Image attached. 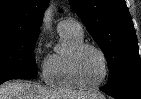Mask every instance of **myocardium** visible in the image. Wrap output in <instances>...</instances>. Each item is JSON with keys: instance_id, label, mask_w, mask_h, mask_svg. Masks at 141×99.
Instances as JSON below:
<instances>
[{"instance_id": "myocardium-1", "label": "myocardium", "mask_w": 141, "mask_h": 99, "mask_svg": "<svg viewBox=\"0 0 141 99\" xmlns=\"http://www.w3.org/2000/svg\"><path fill=\"white\" fill-rule=\"evenodd\" d=\"M86 49H93V50L97 51L101 55L103 62H104V75H103L102 79L100 81H98L97 83L90 84V83L85 82L82 79L81 74H80L79 60H80L82 53ZM70 64H71L72 75H73L75 81L81 87H84V88H88V89L98 88L102 84L105 83V81L107 80V78L109 76L110 67H109V60H108L106 53L104 52V50L102 48H100L99 46L92 44V43L82 42L77 47H75V49L71 53Z\"/></svg>"}]
</instances>
